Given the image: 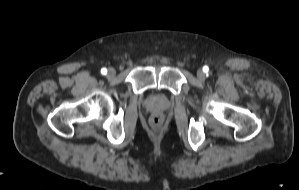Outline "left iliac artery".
<instances>
[{
  "label": "left iliac artery",
  "mask_w": 299,
  "mask_h": 190,
  "mask_svg": "<svg viewBox=\"0 0 299 190\" xmlns=\"http://www.w3.org/2000/svg\"><path fill=\"white\" fill-rule=\"evenodd\" d=\"M206 71L208 70V67H205Z\"/></svg>",
  "instance_id": "1"
}]
</instances>
